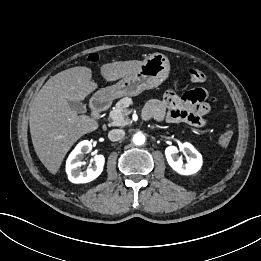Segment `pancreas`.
<instances>
[{
    "mask_svg": "<svg viewBox=\"0 0 261 261\" xmlns=\"http://www.w3.org/2000/svg\"><path fill=\"white\" fill-rule=\"evenodd\" d=\"M132 103L133 101L129 97L122 98L116 103L115 108L110 112L114 126L124 127L129 124L127 116L130 114V110L127 107Z\"/></svg>",
    "mask_w": 261,
    "mask_h": 261,
    "instance_id": "obj_1",
    "label": "pancreas"
}]
</instances>
